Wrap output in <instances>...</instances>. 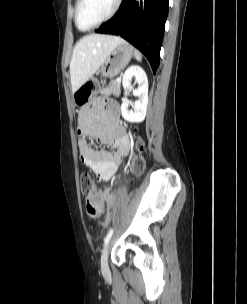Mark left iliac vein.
<instances>
[{"label":"left iliac vein","mask_w":247,"mask_h":304,"mask_svg":"<svg viewBox=\"0 0 247 304\" xmlns=\"http://www.w3.org/2000/svg\"><path fill=\"white\" fill-rule=\"evenodd\" d=\"M109 244H110V240L109 243L106 245L103 253H102V257H101V270L103 274H107L109 272V268H108V249H109Z\"/></svg>","instance_id":"left-iliac-vein-1"}]
</instances>
